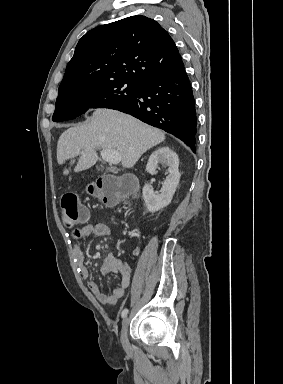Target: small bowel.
<instances>
[{
  "label": "small bowel",
  "instance_id": "small-bowel-1",
  "mask_svg": "<svg viewBox=\"0 0 283 384\" xmlns=\"http://www.w3.org/2000/svg\"><path fill=\"white\" fill-rule=\"evenodd\" d=\"M109 234V226L99 222L88 223L83 227L76 229L73 233V253L78 270L82 277L88 280L87 287L90 292L103 305H114L124 296L130 285L132 269L126 262L116 257L114 254L107 255L101 264V273L104 275L110 273L119 274L121 276V281L119 286L116 287L111 294H105L101 291L97 282L89 279V269L85 263L80 243L91 235L104 237Z\"/></svg>",
  "mask_w": 283,
  "mask_h": 384
}]
</instances>
